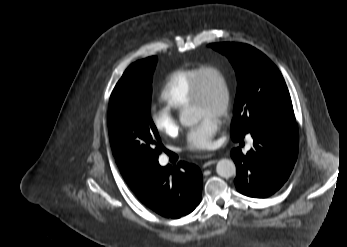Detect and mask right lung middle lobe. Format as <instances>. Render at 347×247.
Instances as JSON below:
<instances>
[{"instance_id":"obj_1","label":"right lung middle lobe","mask_w":347,"mask_h":247,"mask_svg":"<svg viewBox=\"0 0 347 247\" xmlns=\"http://www.w3.org/2000/svg\"><path fill=\"white\" fill-rule=\"evenodd\" d=\"M155 56L131 64L116 84L109 101L110 144L117 160L148 169L163 149L150 117Z\"/></svg>"}]
</instances>
